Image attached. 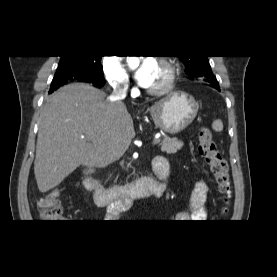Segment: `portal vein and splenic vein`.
<instances>
[{
    "instance_id": "portal-vein-and-splenic-vein-1",
    "label": "portal vein and splenic vein",
    "mask_w": 277,
    "mask_h": 277,
    "mask_svg": "<svg viewBox=\"0 0 277 277\" xmlns=\"http://www.w3.org/2000/svg\"><path fill=\"white\" fill-rule=\"evenodd\" d=\"M160 141H161L160 138H156V139L153 141V145H157Z\"/></svg>"
}]
</instances>
